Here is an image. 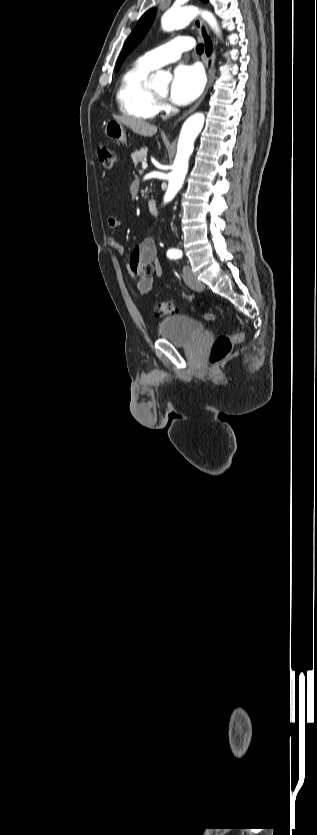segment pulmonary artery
Here are the masks:
<instances>
[{"label": "pulmonary artery", "mask_w": 317, "mask_h": 835, "mask_svg": "<svg viewBox=\"0 0 317 835\" xmlns=\"http://www.w3.org/2000/svg\"><path fill=\"white\" fill-rule=\"evenodd\" d=\"M193 45L194 43L192 38L179 36L155 49L146 52L141 59L155 69L179 59L181 54L192 49Z\"/></svg>", "instance_id": "pulmonary-artery-1"}]
</instances>
